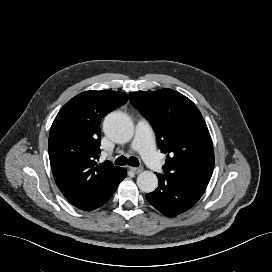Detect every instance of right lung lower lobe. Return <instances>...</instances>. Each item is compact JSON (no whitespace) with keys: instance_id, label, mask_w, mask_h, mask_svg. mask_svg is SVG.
<instances>
[{"instance_id":"right-lung-lower-lobe-1","label":"right lung lower lobe","mask_w":272,"mask_h":272,"mask_svg":"<svg viewBox=\"0 0 272 272\" xmlns=\"http://www.w3.org/2000/svg\"><path fill=\"white\" fill-rule=\"evenodd\" d=\"M125 176H126V170L123 169L121 172V175L118 177V179L102 195H100L92 203H90L86 206H83V207H78V208L82 209L84 211H91V210H94V209L102 206L104 203H106L111 198V196L113 195V193L117 189L119 183L125 178Z\"/></svg>"}]
</instances>
